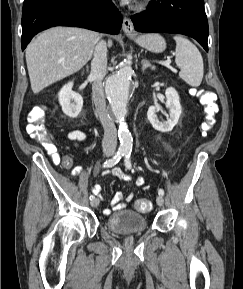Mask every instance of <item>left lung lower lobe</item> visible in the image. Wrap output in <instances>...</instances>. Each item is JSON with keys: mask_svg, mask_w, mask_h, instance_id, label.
I'll return each mask as SVG.
<instances>
[{"mask_svg": "<svg viewBox=\"0 0 243 289\" xmlns=\"http://www.w3.org/2000/svg\"><path fill=\"white\" fill-rule=\"evenodd\" d=\"M139 32L179 33L193 37L208 51L204 0H151L148 9L131 16Z\"/></svg>", "mask_w": 243, "mask_h": 289, "instance_id": "left-lung-lower-lobe-1", "label": "left lung lower lobe"}]
</instances>
